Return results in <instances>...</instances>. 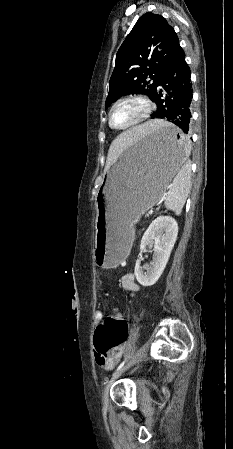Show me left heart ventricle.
I'll use <instances>...</instances> for the list:
<instances>
[{
  "label": "left heart ventricle",
  "instance_id": "obj_1",
  "mask_svg": "<svg viewBox=\"0 0 233 449\" xmlns=\"http://www.w3.org/2000/svg\"><path fill=\"white\" fill-rule=\"evenodd\" d=\"M144 113V106L136 100L120 103L112 112V124L117 127L129 125L139 119Z\"/></svg>",
  "mask_w": 233,
  "mask_h": 449
}]
</instances>
